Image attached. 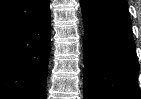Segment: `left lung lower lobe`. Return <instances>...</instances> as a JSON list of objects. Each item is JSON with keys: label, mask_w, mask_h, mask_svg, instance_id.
<instances>
[{"label": "left lung lower lobe", "mask_w": 141, "mask_h": 99, "mask_svg": "<svg viewBox=\"0 0 141 99\" xmlns=\"http://www.w3.org/2000/svg\"><path fill=\"white\" fill-rule=\"evenodd\" d=\"M84 99H141L126 0H81Z\"/></svg>", "instance_id": "obj_1"}]
</instances>
